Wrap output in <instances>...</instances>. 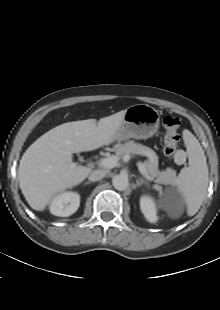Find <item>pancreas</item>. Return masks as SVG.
I'll return each mask as SVG.
<instances>
[{"label":"pancreas","instance_id":"pancreas-1","mask_svg":"<svg viewBox=\"0 0 220 310\" xmlns=\"http://www.w3.org/2000/svg\"><path fill=\"white\" fill-rule=\"evenodd\" d=\"M116 154L119 157L124 155H143L148 157V161L144 162V167L152 180L163 185H174L176 182V171L167 168L165 171L158 170V156L149 147L142 144L128 141L127 143L118 146Z\"/></svg>","mask_w":220,"mask_h":310}]
</instances>
